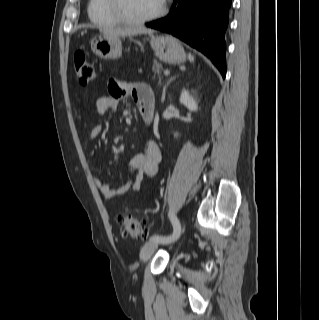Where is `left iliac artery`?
<instances>
[{"mask_svg":"<svg viewBox=\"0 0 319 320\" xmlns=\"http://www.w3.org/2000/svg\"><path fill=\"white\" fill-rule=\"evenodd\" d=\"M169 218L173 225V233L169 236H160V235H153L150 240L156 241L163 244H169L175 242L181 235V225L177 217L169 212Z\"/></svg>","mask_w":319,"mask_h":320,"instance_id":"1","label":"left iliac artery"}]
</instances>
